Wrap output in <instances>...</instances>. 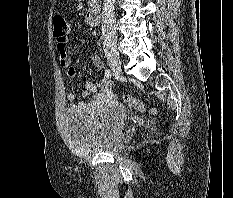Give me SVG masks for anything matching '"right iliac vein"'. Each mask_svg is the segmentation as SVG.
<instances>
[{
	"mask_svg": "<svg viewBox=\"0 0 233 198\" xmlns=\"http://www.w3.org/2000/svg\"><path fill=\"white\" fill-rule=\"evenodd\" d=\"M109 65L112 68V70L116 73L121 72V61L118 52L111 51L107 55Z\"/></svg>",
	"mask_w": 233,
	"mask_h": 198,
	"instance_id": "63e3f726",
	"label": "right iliac vein"
}]
</instances>
